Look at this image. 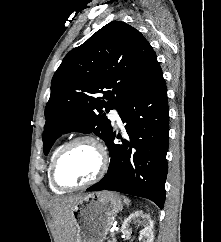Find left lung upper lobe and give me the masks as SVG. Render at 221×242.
Listing matches in <instances>:
<instances>
[{
    "label": "left lung upper lobe",
    "mask_w": 221,
    "mask_h": 242,
    "mask_svg": "<svg viewBox=\"0 0 221 242\" xmlns=\"http://www.w3.org/2000/svg\"><path fill=\"white\" fill-rule=\"evenodd\" d=\"M158 67L149 42L121 21L105 25L71 50L52 78L45 108L44 154L67 132H94L105 141L112 126L102 109L118 110Z\"/></svg>",
    "instance_id": "1"
}]
</instances>
